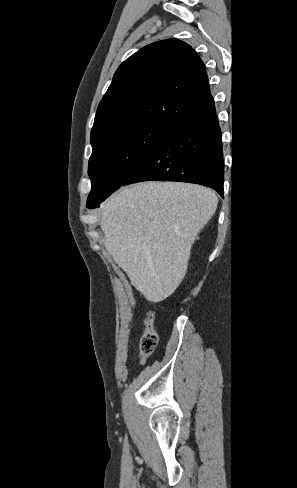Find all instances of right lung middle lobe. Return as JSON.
<instances>
[{
	"instance_id": "right-lung-middle-lobe-1",
	"label": "right lung middle lobe",
	"mask_w": 297,
	"mask_h": 488,
	"mask_svg": "<svg viewBox=\"0 0 297 488\" xmlns=\"http://www.w3.org/2000/svg\"><path fill=\"white\" fill-rule=\"evenodd\" d=\"M169 129L168 126L156 124L137 125L120 130L93 145L88 165L92 188L87 208L98 207L117 190Z\"/></svg>"
}]
</instances>
